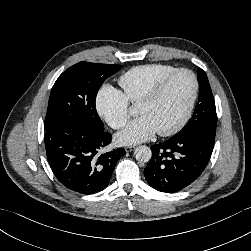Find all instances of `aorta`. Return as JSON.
<instances>
[{"label": "aorta", "mask_w": 251, "mask_h": 251, "mask_svg": "<svg viewBox=\"0 0 251 251\" xmlns=\"http://www.w3.org/2000/svg\"><path fill=\"white\" fill-rule=\"evenodd\" d=\"M134 155L137 161L148 162L151 159L152 152L148 146L142 145V146H138L135 149Z\"/></svg>", "instance_id": "aorta-1"}]
</instances>
